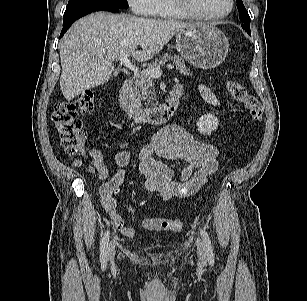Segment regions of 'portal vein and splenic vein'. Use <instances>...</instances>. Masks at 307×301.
Masks as SVG:
<instances>
[{"label": "portal vein and splenic vein", "mask_w": 307, "mask_h": 301, "mask_svg": "<svg viewBox=\"0 0 307 301\" xmlns=\"http://www.w3.org/2000/svg\"><path fill=\"white\" fill-rule=\"evenodd\" d=\"M130 54L126 53L123 54L119 60L122 64H124L125 67H127L129 70L133 71L135 74H144L145 76L153 77V78H159L162 75V70L161 68L158 67H153V68H148L144 69L141 71L138 67L133 65V63L128 59ZM174 66L172 64L167 65V69H173Z\"/></svg>", "instance_id": "1"}]
</instances>
